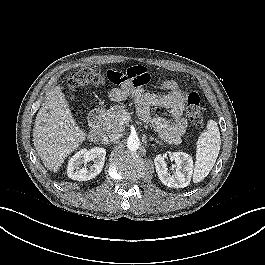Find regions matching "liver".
Masks as SVG:
<instances>
[{
	"mask_svg": "<svg viewBox=\"0 0 265 265\" xmlns=\"http://www.w3.org/2000/svg\"><path fill=\"white\" fill-rule=\"evenodd\" d=\"M86 137L60 86L54 87L39 109L33 129V143L45 167L58 172L65 158L77 150Z\"/></svg>",
	"mask_w": 265,
	"mask_h": 265,
	"instance_id": "obj_1",
	"label": "liver"
}]
</instances>
